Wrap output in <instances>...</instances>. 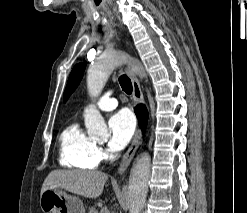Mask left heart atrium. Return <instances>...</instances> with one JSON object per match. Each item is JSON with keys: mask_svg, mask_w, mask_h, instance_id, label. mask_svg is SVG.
Wrapping results in <instances>:
<instances>
[{"mask_svg": "<svg viewBox=\"0 0 247 213\" xmlns=\"http://www.w3.org/2000/svg\"><path fill=\"white\" fill-rule=\"evenodd\" d=\"M136 122L127 110H121L109 119L110 139L108 147L111 151H120L127 146L134 135Z\"/></svg>", "mask_w": 247, "mask_h": 213, "instance_id": "1", "label": "left heart atrium"}]
</instances>
